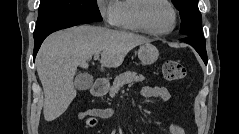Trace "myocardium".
I'll use <instances>...</instances> for the list:
<instances>
[{"label":"myocardium","instance_id":"myocardium-1","mask_svg":"<svg viewBox=\"0 0 239 134\" xmlns=\"http://www.w3.org/2000/svg\"><path fill=\"white\" fill-rule=\"evenodd\" d=\"M153 1H161L164 4H166L169 9L171 10L172 13V25L169 29L165 31H155L150 28L148 22H147V16L146 12L148 7ZM136 20L138 25L141 27V29L146 32L147 34H150L152 36H157V37H162V36H167L171 34L177 27V22H178V16H177V11L174 7V5L168 1V0H140L139 5L137 6L136 9Z\"/></svg>","mask_w":239,"mask_h":134}]
</instances>
